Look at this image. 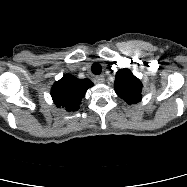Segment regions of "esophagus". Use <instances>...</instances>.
Returning a JSON list of instances; mask_svg holds the SVG:
<instances>
[{
	"instance_id": "esophagus-1",
	"label": "esophagus",
	"mask_w": 187,
	"mask_h": 187,
	"mask_svg": "<svg viewBox=\"0 0 187 187\" xmlns=\"http://www.w3.org/2000/svg\"><path fill=\"white\" fill-rule=\"evenodd\" d=\"M96 83H104L105 78L103 75L96 76L95 78Z\"/></svg>"
}]
</instances>
